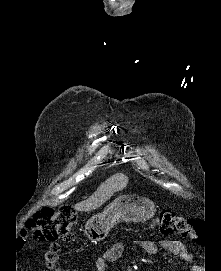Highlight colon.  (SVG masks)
I'll return each instance as SVG.
<instances>
[{"instance_id":"1","label":"colon","mask_w":221,"mask_h":271,"mask_svg":"<svg viewBox=\"0 0 221 271\" xmlns=\"http://www.w3.org/2000/svg\"><path fill=\"white\" fill-rule=\"evenodd\" d=\"M77 212L70 205L59 207L43 206L38 208L27 223L25 237L35 241L51 242L44 254L46 266L55 269L58 261L59 238L70 240L74 237V224ZM153 227L167 234H179L193 241L202 240V223L194 218L181 216L171 211H161Z\"/></svg>"}]
</instances>
